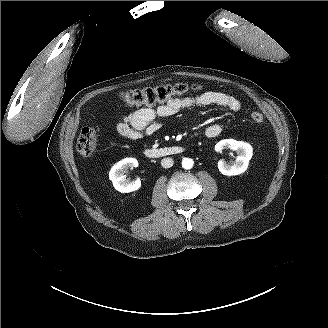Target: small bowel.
Segmentation results:
<instances>
[{
    "instance_id": "1",
    "label": "small bowel",
    "mask_w": 328,
    "mask_h": 328,
    "mask_svg": "<svg viewBox=\"0 0 328 328\" xmlns=\"http://www.w3.org/2000/svg\"><path fill=\"white\" fill-rule=\"evenodd\" d=\"M206 106H217L234 112L240 111L242 107L236 97L216 91H208L196 96L171 98L155 108H140L123 114L116 122V131L122 137L140 140L160 129V119L171 117L183 110ZM221 131L222 127L214 123L206 128L205 134L209 138H216Z\"/></svg>"
}]
</instances>
